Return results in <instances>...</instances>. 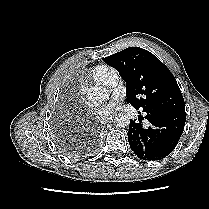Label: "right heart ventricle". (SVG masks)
I'll use <instances>...</instances> for the list:
<instances>
[{
	"instance_id": "obj_1",
	"label": "right heart ventricle",
	"mask_w": 209,
	"mask_h": 209,
	"mask_svg": "<svg viewBox=\"0 0 209 209\" xmlns=\"http://www.w3.org/2000/svg\"><path fill=\"white\" fill-rule=\"evenodd\" d=\"M111 69L112 68L109 66L100 65V66L95 67L92 70L91 75L95 81H97L98 83L104 84L106 75Z\"/></svg>"
}]
</instances>
